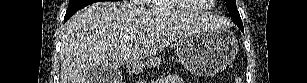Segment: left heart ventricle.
Wrapping results in <instances>:
<instances>
[{
	"instance_id": "left-heart-ventricle-1",
	"label": "left heart ventricle",
	"mask_w": 307,
	"mask_h": 83,
	"mask_svg": "<svg viewBox=\"0 0 307 83\" xmlns=\"http://www.w3.org/2000/svg\"><path fill=\"white\" fill-rule=\"evenodd\" d=\"M199 1L200 0H182V3L189 8H195V7L203 6L200 4L201 2Z\"/></svg>"
}]
</instances>
